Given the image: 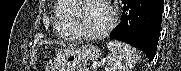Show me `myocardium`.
Here are the masks:
<instances>
[{
    "instance_id": "f54148a6",
    "label": "myocardium",
    "mask_w": 181,
    "mask_h": 71,
    "mask_svg": "<svg viewBox=\"0 0 181 71\" xmlns=\"http://www.w3.org/2000/svg\"><path fill=\"white\" fill-rule=\"evenodd\" d=\"M64 1L72 4V12L70 15V25L77 39L97 40V39L104 38L113 31V29L115 28L117 24V12H116L115 7L108 0H100L105 4V6L108 8L110 12L111 18H110L109 24L103 30L99 32L90 33V32L83 31L78 27V21H77L79 13L81 11L80 1L79 0H64Z\"/></svg>"
}]
</instances>
